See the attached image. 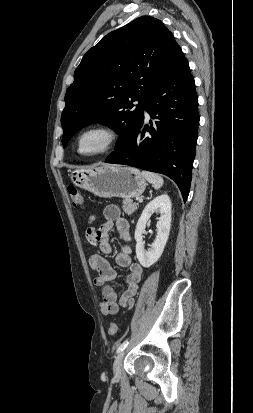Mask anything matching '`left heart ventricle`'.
Masks as SVG:
<instances>
[{
	"mask_svg": "<svg viewBox=\"0 0 253 413\" xmlns=\"http://www.w3.org/2000/svg\"><path fill=\"white\" fill-rule=\"evenodd\" d=\"M106 136L98 131L85 134L80 141V150L83 153H92L99 150L105 143Z\"/></svg>",
	"mask_w": 253,
	"mask_h": 413,
	"instance_id": "obj_1",
	"label": "left heart ventricle"
}]
</instances>
